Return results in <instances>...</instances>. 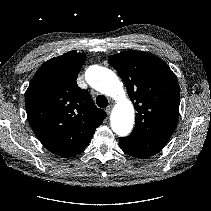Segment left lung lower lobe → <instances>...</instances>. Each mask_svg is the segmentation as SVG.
<instances>
[{
	"label": "left lung lower lobe",
	"mask_w": 211,
	"mask_h": 211,
	"mask_svg": "<svg viewBox=\"0 0 211 211\" xmlns=\"http://www.w3.org/2000/svg\"><path fill=\"white\" fill-rule=\"evenodd\" d=\"M170 138L130 135L119 139L121 149L128 155L147 158L160 152Z\"/></svg>",
	"instance_id": "1"
}]
</instances>
